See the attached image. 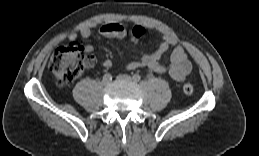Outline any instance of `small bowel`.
I'll return each instance as SVG.
<instances>
[{"label":"small bowel","instance_id":"c3829d8e","mask_svg":"<svg viewBox=\"0 0 259 156\" xmlns=\"http://www.w3.org/2000/svg\"><path fill=\"white\" fill-rule=\"evenodd\" d=\"M98 33L106 38L122 39L130 37L133 44L138 43V38L130 35L129 31L119 23H106L99 28ZM91 34L92 31L90 28H83L79 33H72L69 39L75 40L78 36L86 39L89 38ZM170 48H172L170 64L164 65L161 63V59ZM84 49L89 53L94 50L93 46L89 44L86 45ZM138 56L140 60H131L127 63L128 70L148 68L157 73H168L170 77L176 81H183L192 70L191 62L184 48L178 43L175 37L168 34L161 36L160 43L153 52L140 49L138 50ZM102 65L108 68L112 65V61L109 58H104Z\"/></svg>","mask_w":259,"mask_h":156}]
</instances>
